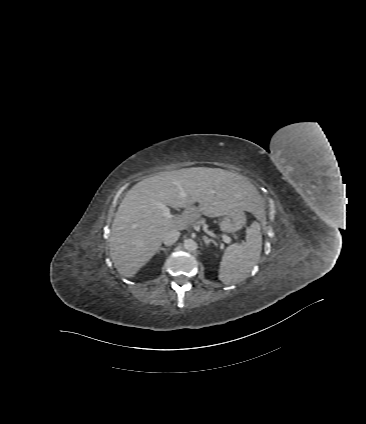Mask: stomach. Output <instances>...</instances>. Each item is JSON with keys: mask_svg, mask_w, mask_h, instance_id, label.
Listing matches in <instances>:
<instances>
[{"mask_svg": "<svg viewBox=\"0 0 366 424\" xmlns=\"http://www.w3.org/2000/svg\"><path fill=\"white\" fill-rule=\"evenodd\" d=\"M245 222L243 211H235L224 215L220 223V230L223 233H234L241 229Z\"/></svg>", "mask_w": 366, "mask_h": 424, "instance_id": "0dacf381", "label": "stomach"}]
</instances>
